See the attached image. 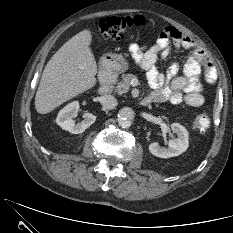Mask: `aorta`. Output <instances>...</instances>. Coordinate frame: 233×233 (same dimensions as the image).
Segmentation results:
<instances>
[{
  "label": "aorta",
  "instance_id": "aorta-1",
  "mask_svg": "<svg viewBox=\"0 0 233 233\" xmlns=\"http://www.w3.org/2000/svg\"><path fill=\"white\" fill-rule=\"evenodd\" d=\"M135 113L130 107H123L118 112V123L122 128L131 126Z\"/></svg>",
  "mask_w": 233,
  "mask_h": 233
}]
</instances>
